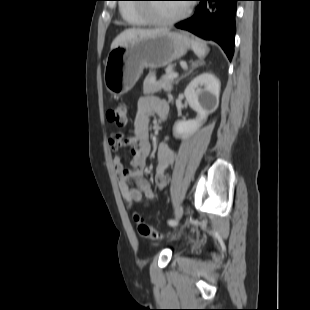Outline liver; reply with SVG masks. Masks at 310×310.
Listing matches in <instances>:
<instances>
[{"mask_svg":"<svg viewBox=\"0 0 310 310\" xmlns=\"http://www.w3.org/2000/svg\"><path fill=\"white\" fill-rule=\"evenodd\" d=\"M164 31H168L167 29H126L121 32L112 42L111 50L115 49L119 45L134 42L140 39L148 38Z\"/></svg>","mask_w":310,"mask_h":310,"instance_id":"obj_1","label":"liver"}]
</instances>
